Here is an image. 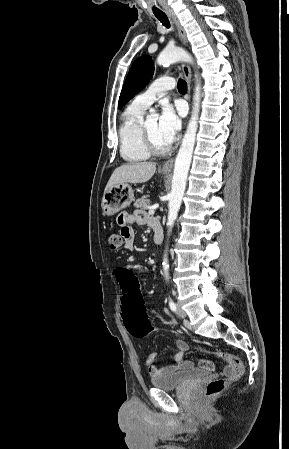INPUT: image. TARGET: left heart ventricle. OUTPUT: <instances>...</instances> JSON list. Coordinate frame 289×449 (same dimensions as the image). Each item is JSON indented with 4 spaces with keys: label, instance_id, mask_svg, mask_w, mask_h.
Listing matches in <instances>:
<instances>
[{
    "label": "left heart ventricle",
    "instance_id": "obj_1",
    "mask_svg": "<svg viewBox=\"0 0 289 449\" xmlns=\"http://www.w3.org/2000/svg\"><path fill=\"white\" fill-rule=\"evenodd\" d=\"M146 127L150 133V136L153 140V142L159 147V148H165L168 146V144L163 140V138L161 137L160 133H159V129H158V119L154 118L151 119L149 121H147L146 123Z\"/></svg>",
    "mask_w": 289,
    "mask_h": 449
}]
</instances>
